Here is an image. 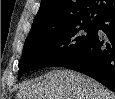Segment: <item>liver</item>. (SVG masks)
Instances as JSON below:
<instances>
[{"label": "liver", "instance_id": "6515ba94", "mask_svg": "<svg viewBox=\"0 0 115 99\" xmlns=\"http://www.w3.org/2000/svg\"><path fill=\"white\" fill-rule=\"evenodd\" d=\"M16 99H115V94L83 74L56 70L23 83Z\"/></svg>", "mask_w": 115, "mask_h": 99}]
</instances>
